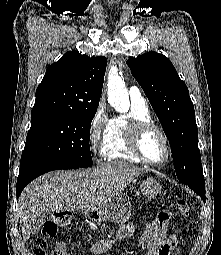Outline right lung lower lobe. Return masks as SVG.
<instances>
[{"instance_id": "obj_1", "label": "right lung lower lobe", "mask_w": 221, "mask_h": 255, "mask_svg": "<svg viewBox=\"0 0 221 255\" xmlns=\"http://www.w3.org/2000/svg\"><path fill=\"white\" fill-rule=\"evenodd\" d=\"M19 176L17 179L16 193L17 198L20 196L24 187L36 177L53 170L59 169H77L82 168L72 165H63L49 162L29 161L20 166Z\"/></svg>"}]
</instances>
